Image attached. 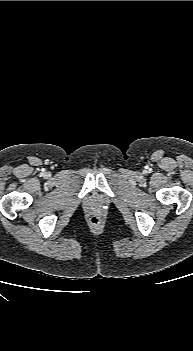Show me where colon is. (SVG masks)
I'll list each match as a JSON object with an SVG mask.
<instances>
[{"instance_id": "obj_1", "label": "colon", "mask_w": 193, "mask_h": 351, "mask_svg": "<svg viewBox=\"0 0 193 351\" xmlns=\"http://www.w3.org/2000/svg\"><path fill=\"white\" fill-rule=\"evenodd\" d=\"M90 222L93 224V225H98L100 223V220L97 218V217H92L90 219Z\"/></svg>"}]
</instances>
